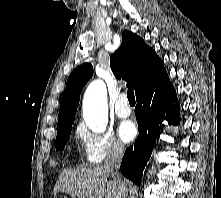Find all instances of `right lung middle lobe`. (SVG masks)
Segmentation results:
<instances>
[{"instance_id":"dd1d6c3e","label":"right lung middle lobe","mask_w":221,"mask_h":198,"mask_svg":"<svg viewBox=\"0 0 221 198\" xmlns=\"http://www.w3.org/2000/svg\"><path fill=\"white\" fill-rule=\"evenodd\" d=\"M71 129H72V126L67 127L63 130L57 131V137L55 141V147L57 151L59 150L62 151L64 149L65 144L67 143L70 137Z\"/></svg>"}]
</instances>
